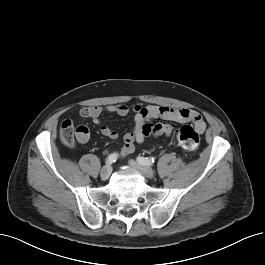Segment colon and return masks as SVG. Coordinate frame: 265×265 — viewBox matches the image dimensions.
Segmentation results:
<instances>
[{
  "mask_svg": "<svg viewBox=\"0 0 265 265\" xmlns=\"http://www.w3.org/2000/svg\"><path fill=\"white\" fill-rule=\"evenodd\" d=\"M59 137L61 143L67 148L76 146V130L70 120H64L60 125ZM177 141L179 146L188 152L195 151L200 143L198 129L191 125L182 126L177 133Z\"/></svg>",
  "mask_w": 265,
  "mask_h": 265,
  "instance_id": "obj_1",
  "label": "colon"
}]
</instances>
